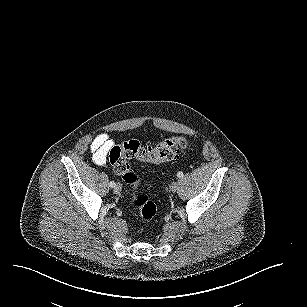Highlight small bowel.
I'll list each match as a JSON object with an SVG mask.
<instances>
[{
    "mask_svg": "<svg viewBox=\"0 0 307 307\" xmlns=\"http://www.w3.org/2000/svg\"><path fill=\"white\" fill-rule=\"evenodd\" d=\"M113 145L114 141L107 133L96 135L90 144L93 162L98 166L104 165Z\"/></svg>",
    "mask_w": 307,
    "mask_h": 307,
    "instance_id": "small-bowel-1",
    "label": "small bowel"
}]
</instances>
